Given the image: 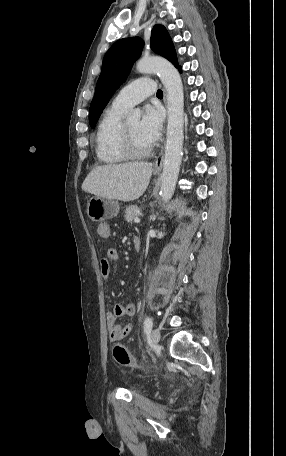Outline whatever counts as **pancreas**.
Instances as JSON below:
<instances>
[{
  "label": "pancreas",
  "instance_id": "cf45deb5",
  "mask_svg": "<svg viewBox=\"0 0 286 456\" xmlns=\"http://www.w3.org/2000/svg\"><path fill=\"white\" fill-rule=\"evenodd\" d=\"M140 213V209L136 205H131L125 210V220L132 223L133 219Z\"/></svg>",
  "mask_w": 286,
  "mask_h": 456
}]
</instances>
